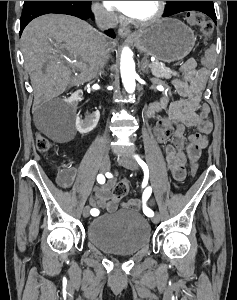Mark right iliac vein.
<instances>
[{
  "label": "right iliac vein",
  "instance_id": "1",
  "mask_svg": "<svg viewBox=\"0 0 237 300\" xmlns=\"http://www.w3.org/2000/svg\"><path fill=\"white\" fill-rule=\"evenodd\" d=\"M110 168V157L108 154L104 155L100 163V171L106 173ZM90 215V206H86L83 209V217H88Z\"/></svg>",
  "mask_w": 237,
  "mask_h": 300
}]
</instances>
